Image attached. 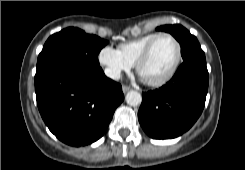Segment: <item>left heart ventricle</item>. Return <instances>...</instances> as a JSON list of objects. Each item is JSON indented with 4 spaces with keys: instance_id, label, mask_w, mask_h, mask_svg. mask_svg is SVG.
Masks as SVG:
<instances>
[{
    "instance_id": "b2bd125f",
    "label": "left heart ventricle",
    "mask_w": 245,
    "mask_h": 170,
    "mask_svg": "<svg viewBox=\"0 0 245 170\" xmlns=\"http://www.w3.org/2000/svg\"><path fill=\"white\" fill-rule=\"evenodd\" d=\"M177 47L169 37L160 38L154 45L148 59L141 66V75L148 81L163 77L173 65Z\"/></svg>"
}]
</instances>
